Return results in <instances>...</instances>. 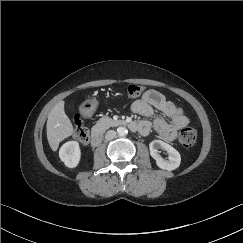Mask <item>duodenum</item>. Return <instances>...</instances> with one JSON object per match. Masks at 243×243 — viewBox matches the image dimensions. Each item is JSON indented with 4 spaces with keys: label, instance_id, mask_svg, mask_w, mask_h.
I'll use <instances>...</instances> for the list:
<instances>
[{
    "label": "duodenum",
    "instance_id": "410a0bca",
    "mask_svg": "<svg viewBox=\"0 0 243 243\" xmlns=\"http://www.w3.org/2000/svg\"><path fill=\"white\" fill-rule=\"evenodd\" d=\"M120 125L128 127L132 131H138L140 128V124L134 121H121ZM102 140V133L98 129H94L90 135V142L93 147H96L100 144Z\"/></svg>",
    "mask_w": 243,
    "mask_h": 243
}]
</instances>
